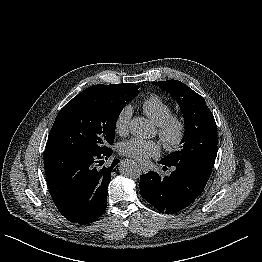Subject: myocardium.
Listing matches in <instances>:
<instances>
[{"label": "myocardium", "mask_w": 262, "mask_h": 262, "mask_svg": "<svg viewBox=\"0 0 262 262\" xmlns=\"http://www.w3.org/2000/svg\"><path fill=\"white\" fill-rule=\"evenodd\" d=\"M186 129L184 117L178 113H171L163 123L158 125V136L168 151H175L183 143Z\"/></svg>", "instance_id": "1"}]
</instances>
